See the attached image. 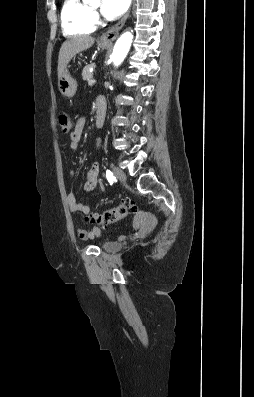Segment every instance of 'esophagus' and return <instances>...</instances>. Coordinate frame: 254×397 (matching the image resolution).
Returning a JSON list of instances; mask_svg holds the SVG:
<instances>
[{
    "instance_id": "34e87169",
    "label": "esophagus",
    "mask_w": 254,
    "mask_h": 397,
    "mask_svg": "<svg viewBox=\"0 0 254 397\" xmlns=\"http://www.w3.org/2000/svg\"><path fill=\"white\" fill-rule=\"evenodd\" d=\"M130 11L131 9H129V11L121 18V20L118 23L110 27L105 33L102 34V36L100 37L101 42L112 43L118 37L119 31L122 29V27L124 26L126 20L130 15Z\"/></svg>"
}]
</instances>
